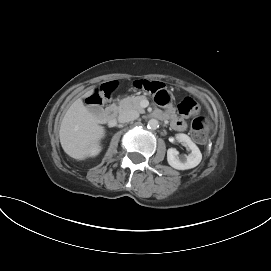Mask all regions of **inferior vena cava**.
Wrapping results in <instances>:
<instances>
[{"mask_svg":"<svg viewBox=\"0 0 271 271\" xmlns=\"http://www.w3.org/2000/svg\"><path fill=\"white\" fill-rule=\"evenodd\" d=\"M139 117V113L133 110H127L123 111L122 113L119 114L118 116V121L120 123H127L130 121H134Z\"/></svg>","mask_w":271,"mask_h":271,"instance_id":"inferior-vena-cava-1","label":"inferior vena cava"}]
</instances>
